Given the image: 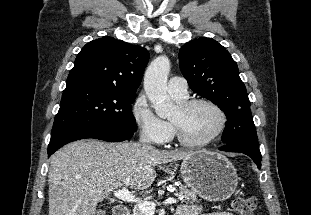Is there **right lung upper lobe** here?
<instances>
[{
	"label": "right lung upper lobe",
	"mask_w": 311,
	"mask_h": 215,
	"mask_svg": "<svg viewBox=\"0 0 311 215\" xmlns=\"http://www.w3.org/2000/svg\"><path fill=\"white\" fill-rule=\"evenodd\" d=\"M148 60L145 48L105 36L82 48L68 75L67 87L88 84L136 92Z\"/></svg>",
	"instance_id": "right-lung-upper-lobe-1"
}]
</instances>
